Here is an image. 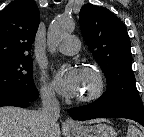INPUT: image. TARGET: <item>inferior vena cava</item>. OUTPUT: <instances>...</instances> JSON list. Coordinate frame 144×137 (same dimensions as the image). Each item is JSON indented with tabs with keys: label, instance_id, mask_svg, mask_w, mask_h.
<instances>
[{
	"label": "inferior vena cava",
	"instance_id": "obj_1",
	"mask_svg": "<svg viewBox=\"0 0 144 137\" xmlns=\"http://www.w3.org/2000/svg\"><path fill=\"white\" fill-rule=\"evenodd\" d=\"M42 111L41 119L43 122V127L46 132H50L57 126V120L60 116V105L56 99L55 93L52 91H47L42 94ZM47 133L46 137H51Z\"/></svg>",
	"mask_w": 144,
	"mask_h": 137
}]
</instances>
